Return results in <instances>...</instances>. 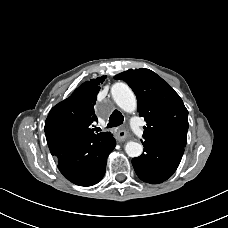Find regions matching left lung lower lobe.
Segmentation results:
<instances>
[{"label": "left lung lower lobe", "instance_id": "obj_1", "mask_svg": "<svg viewBox=\"0 0 228 228\" xmlns=\"http://www.w3.org/2000/svg\"><path fill=\"white\" fill-rule=\"evenodd\" d=\"M144 153L132 159L138 177L157 184L167 180L180 164L184 147L165 140H145Z\"/></svg>", "mask_w": 228, "mask_h": 228}]
</instances>
